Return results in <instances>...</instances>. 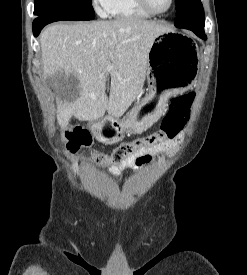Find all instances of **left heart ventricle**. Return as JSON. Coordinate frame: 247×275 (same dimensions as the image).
I'll return each mask as SVG.
<instances>
[{"label":"left heart ventricle","mask_w":247,"mask_h":275,"mask_svg":"<svg viewBox=\"0 0 247 275\" xmlns=\"http://www.w3.org/2000/svg\"><path fill=\"white\" fill-rule=\"evenodd\" d=\"M151 7L156 11H163L168 8L170 0H148Z\"/></svg>","instance_id":"left-heart-ventricle-1"}]
</instances>
